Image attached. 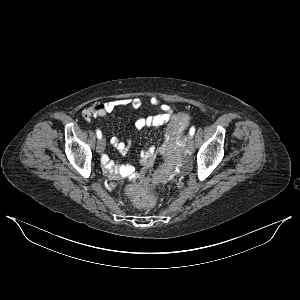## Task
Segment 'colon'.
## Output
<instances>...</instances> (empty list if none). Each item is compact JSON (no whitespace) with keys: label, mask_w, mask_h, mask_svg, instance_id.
<instances>
[{"label":"colon","mask_w":300,"mask_h":300,"mask_svg":"<svg viewBox=\"0 0 300 300\" xmlns=\"http://www.w3.org/2000/svg\"><path fill=\"white\" fill-rule=\"evenodd\" d=\"M189 117L186 113H178L173 117L167 127V143L163 151L167 156V168L154 171L147 176L136 179L135 184L129 186L128 191L132 196L133 203L139 208H149L156 204L157 198L153 189L157 188V182H165L169 177L176 161V141L188 124ZM139 187V188H138Z\"/></svg>","instance_id":"obj_1"}]
</instances>
